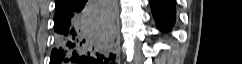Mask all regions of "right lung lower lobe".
Listing matches in <instances>:
<instances>
[{"label": "right lung lower lobe", "instance_id": "98d812e1", "mask_svg": "<svg viewBox=\"0 0 242 64\" xmlns=\"http://www.w3.org/2000/svg\"><path fill=\"white\" fill-rule=\"evenodd\" d=\"M117 0H71L55 10L50 64H115Z\"/></svg>", "mask_w": 242, "mask_h": 64}]
</instances>
